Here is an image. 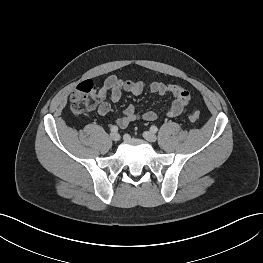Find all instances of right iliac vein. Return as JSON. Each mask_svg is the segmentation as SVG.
<instances>
[{
  "instance_id": "obj_1",
  "label": "right iliac vein",
  "mask_w": 263,
  "mask_h": 263,
  "mask_svg": "<svg viewBox=\"0 0 263 263\" xmlns=\"http://www.w3.org/2000/svg\"><path fill=\"white\" fill-rule=\"evenodd\" d=\"M110 138L113 140V141H119L120 140V135L117 133V132H112L110 134Z\"/></svg>"
}]
</instances>
